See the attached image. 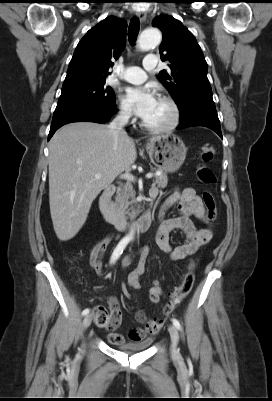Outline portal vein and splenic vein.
Segmentation results:
<instances>
[{
	"mask_svg": "<svg viewBox=\"0 0 272 401\" xmlns=\"http://www.w3.org/2000/svg\"><path fill=\"white\" fill-rule=\"evenodd\" d=\"M152 174L151 173H149V174H147L146 175V178L147 179H150V178H152ZM95 178L96 179H99V178H101V175H99V174H96L95 175ZM121 178H123V179H125V180H127V181H134V176L132 175V174H130V173H128V172H126V173H124L122 176H121Z\"/></svg>",
	"mask_w": 272,
	"mask_h": 401,
	"instance_id": "18ae733b",
	"label": "portal vein and splenic vein"
}]
</instances>
